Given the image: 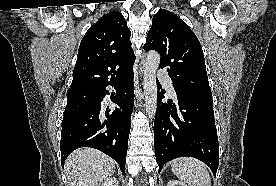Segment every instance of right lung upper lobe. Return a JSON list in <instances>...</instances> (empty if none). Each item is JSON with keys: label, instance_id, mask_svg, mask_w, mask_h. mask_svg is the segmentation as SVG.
Returning a JSON list of instances; mask_svg holds the SVG:
<instances>
[{"label": "right lung upper lobe", "instance_id": "cb5924a9", "mask_svg": "<svg viewBox=\"0 0 276 186\" xmlns=\"http://www.w3.org/2000/svg\"><path fill=\"white\" fill-rule=\"evenodd\" d=\"M130 36L127 22L119 11L103 15L81 40L69 90L102 88L131 73L135 56Z\"/></svg>", "mask_w": 276, "mask_h": 186}]
</instances>
